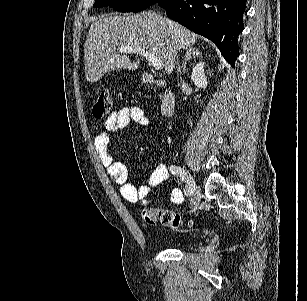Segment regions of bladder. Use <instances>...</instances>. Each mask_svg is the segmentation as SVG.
<instances>
[{"mask_svg":"<svg viewBox=\"0 0 307 301\" xmlns=\"http://www.w3.org/2000/svg\"><path fill=\"white\" fill-rule=\"evenodd\" d=\"M193 240V237H181L173 240L172 244L177 246H186L187 244H192Z\"/></svg>","mask_w":307,"mask_h":301,"instance_id":"31cf9c89","label":"bladder"}]
</instances>
